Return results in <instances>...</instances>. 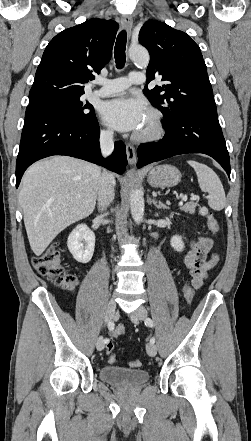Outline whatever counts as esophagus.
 I'll use <instances>...</instances> for the list:
<instances>
[{"instance_id":"1","label":"esophagus","mask_w":251,"mask_h":441,"mask_svg":"<svg viewBox=\"0 0 251 441\" xmlns=\"http://www.w3.org/2000/svg\"><path fill=\"white\" fill-rule=\"evenodd\" d=\"M121 25L123 28L126 29L127 33L130 35L131 29L133 26L132 17L129 15H123L121 17ZM126 153H127V158H128L129 164L135 165L136 161H137V156H136V150H135L134 146L131 144H127L126 145Z\"/></svg>"}]
</instances>
